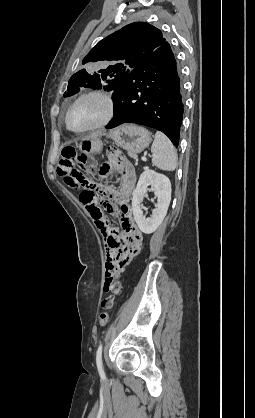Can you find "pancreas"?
<instances>
[{
  "instance_id": "pancreas-1",
  "label": "pancreas",
  "mask_w": 255,
  "mask_h": 418,
  "mask_svg": "<svg viewBox=\"0 0 255 418\" xmlns=\"http://www.w3.org/2000/svg\"><path fill=\"white\" fill-rule=\"evenodd\" d=\"M128 155H129L130 157H132V158H134V159H136V160H137V156H136L135 154H133V153H129V152H128Z\"/></svg>"
}]
</instances>
